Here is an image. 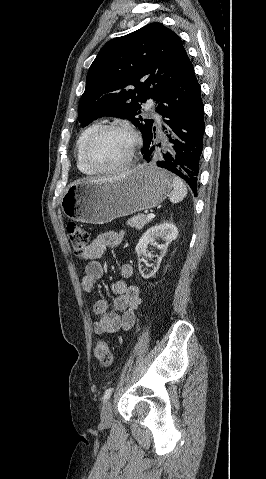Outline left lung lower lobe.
Masks as SVG:
<instances>
[{
  "label": "left lung lower lobe",
  "mask_w": 266,
  "mask_h": 479,
  "mask_svg": "<svg viewBox=\"0 0 266 479\" xmlns=\"http://www.w3.org/2000/svg\"><path fill=\"white\" fill-rule=\"evenodd\" d=\"M200 92L191 64L157 107V112L164 118V138L159 140L156 127H153L141 151L145 161L183 178L195 196L205 131Z\"/></svg>",
  "instance_id": "1"
}]
</instances>
